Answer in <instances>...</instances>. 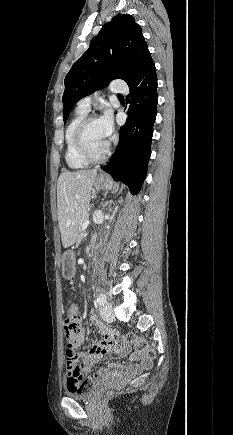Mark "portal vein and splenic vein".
Returning <instances> with one entry per match:
<instances>
[{"mask_svg": "<svg viewBox=\"0 0 233 435\" xmlns=\"http://www.w3.org/2000/svg\"><path fill=\"white\" fill-rule=\"evenodd\" d=\"M89 224H90L89 220L84 221L83 224H82V229L85 230L88 227Z\"/></svg>", "mask_w": 233, "mask_h": 435, "instance_id": "18ae733b", "label": "portal vein and splenic vein"}]
</instances>
